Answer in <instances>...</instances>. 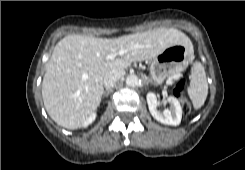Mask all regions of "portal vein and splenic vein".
<instances>
[{"mask_svg": "<svg viewBox=\"0 0 245 170\" xmlns=\"http://www.w3.org/2000/svg\"><path fill=\"white\" fill-rule=\"evenodd\" d=\"M128 52V49H121L118 52H113L110 53L109 55H107L106 59L107 60H113L115 59L117 56H123L124 54H126Z\"/></svg>", "mask_w": 245, "mask_h": 170, "instance_id": "18ae733b", "label": "portal vein and splenic vein"}]
</instances>
